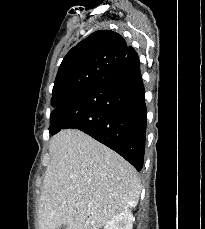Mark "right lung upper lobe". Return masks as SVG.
Wrapping results in <instances>:
<instances>
[{
	"mask_svg": "<svg viewBox=\"0 0 205 229\" xmlns=\"http://www.w3.org/2000/svg\"><path fill=\"white\" fill-rule=\"evenodd\" d=\"M124 38L110 30H99L79 42L64 57L55 79L51 105L60 106L103 79L119 66L130 50Z\"/></svg>",
	"mask_w": 205,
	"mask_h": 229,
	"instance_id": "1",
	"label": "right lung upper lobe"
}]
</instances>
